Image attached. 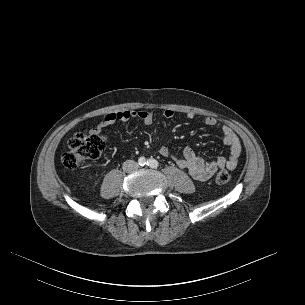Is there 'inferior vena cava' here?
<instances>
[{"label":"inferior vena cava","instance_id":"obj_1","mask_svg":"<svg viewBox=\"0 0 305 305\" xmlns=\"http://www.w3.org/2000/svg\"><path fill=\"white\" fill-rule=\"evenodd\" d=\"M138 169V163L134 160H127L123 163V170L126 173L134 172Z\"/></svg>","mask_w":305,"mask_h":305}]
</instances>
